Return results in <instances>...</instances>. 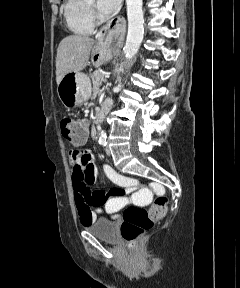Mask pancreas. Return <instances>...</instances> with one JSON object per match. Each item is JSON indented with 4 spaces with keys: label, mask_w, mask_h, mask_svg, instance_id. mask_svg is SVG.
Listing matches in <instances>:
<instances>
[{
    "label": "pancreas",
    "mask_w": 240,
    "mask_h": 288,
    "mask_svg": "<svg viewBox=\"0 0 240 288\" xmlns=\"http://www.w3.org/2000/svg\"><path fill=\"white\" fill-rule=\"evenodd\" d=\"M91 80L93 84V89L97 91L103 81H105L104 78V72L101 70H96L91 75Z\"/></svg>",
    "instance_id": "obj_1"
}]
</instances>
